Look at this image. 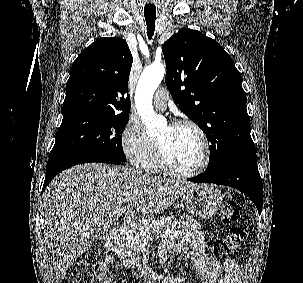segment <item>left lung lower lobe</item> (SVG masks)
<instances>
[{"instance_id":"0a47b994","label":"left lung lower lobe","mask_w":303,"mask_h":283,"mask_svg":"<svg viewBox=\"0 0 303 283\" xmlns=\"http://www.w3.org/2000/svg\"><path fill=\"white\" fill-rule=\"evenodd\" d=\"M197 183H215L236 188L256 205L259 214L263 205L262 179L257 167L256 152L251 151L223 162L216 168L188 179Z\"/></svg>"}]
</instances>
